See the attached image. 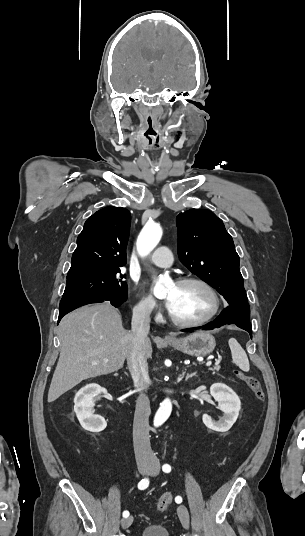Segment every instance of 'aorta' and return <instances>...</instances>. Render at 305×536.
Listing matches in <instances>:
<instances>
[{"label":"aorta","mask_w":305,"mask_h":536,"mask_svg":"<svg viewBox=\"0 0 305 536\" xmlns=\"http://www.w3.org/2000/svg\"><path fill=\"white\" fill-rule=\"evenodd\" d=\"M162 237V228L158 224H147L140 232L137 239V251L141 257L147 256L159 243ZM165 279H158L154 287V295L157 298L163 297L166 294ZM172 411V403L169 398H166L155 414L154 425H162L170 416Z\"/></svg>","instance_id":"1"}]
</instances>
